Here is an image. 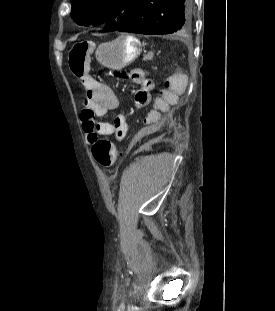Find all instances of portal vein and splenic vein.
I'll use <instances>...</instances> for the list:
<instances>
[{
    "instance_id": "portal-vein-and-splenic-vein-1",
    "label": "portal vein and splenic vein",
    "mask_w": 275,
    "mask_h": 311,
    "mask_svg": "<svg viewBox=\"0 0 275 311\" xmlns=\"http://www.w3.org/2000/svg\"><path fill=\"white\" fill-rule=\"evenodd\" d=\"M152 57H153V53L152 52H149L148 54H147V59H152Z\"/></svg>"
}]
</instances>
